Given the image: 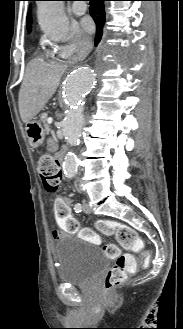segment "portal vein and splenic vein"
Here are the masks:
<instances>
[{
	"label": "portal vein and splenic vein",
	"mask_w": 183,
	"mask_h": 329,
	"mask_svg": "<svg viewBox=\"0 0 183 329\" xmlns=\"http://www.w3.org/2000/svg\"><path fill=\"white\" fill-rule=\"evenodd\" d=\"M52 122H53V118L49 117V118L47 119V123L51 124Z\"/></svg>",
	"instance_id": "obj_1"
}]
</instances>
